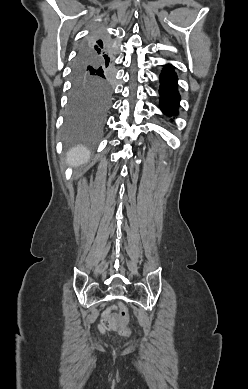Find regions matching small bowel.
Wrapping results in <instances>:
<instances>
[{
  "label": "small bowel",
  "mask_w": 248,
  "mask_h": 389,
  "mask_svg": "<svg viewBox=\"0 0 248 389\" xmlns=\"http://www.w3.org/2000/svg\"><path fill=\"white\" fill-rule=\"evenodd\" d=\"M113 308H107L106 311H105V316L106 317H110L111 316V311H112Z\"/></svg>",
  "instance_id": "1"
}]
</instances>
